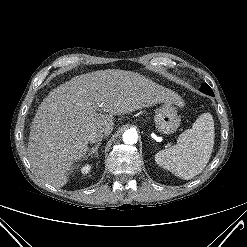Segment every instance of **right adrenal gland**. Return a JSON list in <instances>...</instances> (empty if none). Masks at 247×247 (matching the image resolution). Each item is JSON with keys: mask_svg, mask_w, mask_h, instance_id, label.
<instances>
[{"mask_svg": "<svg viewBox=\"0 0 247 247\" xmlns=\"http://www.w3.org/2000/svg\"><path fill=\"white\" fill-rule=\"evenodd\" d=\"M101 145V143H97L96 145H94L90 151L88 152V154L86 155V158H88L89 156H92V154H94V156L98 157L97 156V151H98V148L99 146Z\"/></svg>", "mask_w": 247, "mask_h": 247, "instance_id": "right-adrenal-gland-1", "label": "right adrenal gland"}]
</instances>
